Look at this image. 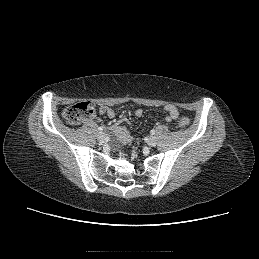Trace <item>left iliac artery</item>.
Wrapping results in <instances>:
<instances>
[{
    "mask_svg": "<svg viewBox=\"0 0 259 259\" xmlns=\"http://www.w3.org/2000/svg\"><path fill=\"white\" fill-rule=\"evenodd\" d=\"M150 133H151L152 135H154V134H155V130H151Z\"/></svg>",
    "mask_w": 259,
    "mask_h": 259,
    "instance_id": "obj_1",
    "label": "left iliac artery"
}]
</instances>
